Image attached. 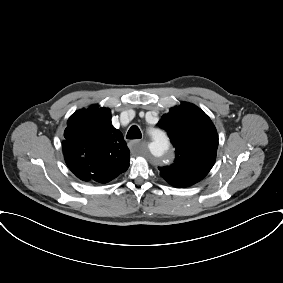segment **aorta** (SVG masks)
I'll use <instances>...</instances> for the list:
<instances>
[{
    "instance_id": "762f6f07",
    "label": "aorta",
    "mask_w": 283,
    "mask_h": 283,
    "mask_svg": "<svg viewBox=\"0 0 283 283\" xmlns=\"http://www.w3.org/2000/svg\"><path fill=\"white\" fill-rule=\"evenodd\" d=\"M169 149V142L166 136L160 132H155L153 140L149 144L150 153L159 161H164Z\"/></svg>"
}]
</instances>
